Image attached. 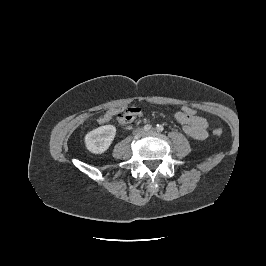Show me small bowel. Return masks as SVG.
<instances>
[{
    "instance_id": "small-bowel-1",
    "label": "small bowel",
    "mask_w": 266,
    "mask_h": 266,
    "mask_svg": "<svg viewBox=\"0 0 266 266\" xmlns=\"http://www.w3.org/2000/svg\"><path fill=\"white\" fill-rule=\"evenodd\" d=\"M130 109L133 112V117L129 122H132L134 119L142 115L141 108L132 107ZM114 113V110L107 111L99 118V123L103 124L109 122L112 119ZM174 118L176 121L183 125V130L189 137L195 140H204L208 136V122L205 118L201 116L188 117L182 114L180 111H177L174 114Z\"/></svg>"
}]
</instances>
